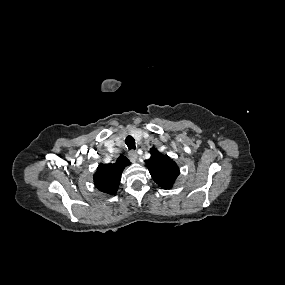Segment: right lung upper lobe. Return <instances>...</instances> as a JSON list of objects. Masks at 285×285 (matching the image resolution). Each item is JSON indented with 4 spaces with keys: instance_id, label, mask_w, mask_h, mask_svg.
I'll return each instance as SVG.
<instances>
[{
    "instance_id": "right-lung-upper-lobe-1",
    "label": "right lung upper lobe",
    "mask_w": 285,
    "mask_h": 285,
    "mask_svg": "<svg viewBox=\"0 0 285 285\" xmlns=\"http://www.w3.org/2000/svg\"><path fill=\"white\" fill-rule=\"evenodd\" d=\"M128 165L130 161L124 155H120L114 164H99L94 175L96 188L106 194L114 195L117 192L122 171Z\"/></svg>"
}]
</instances>
